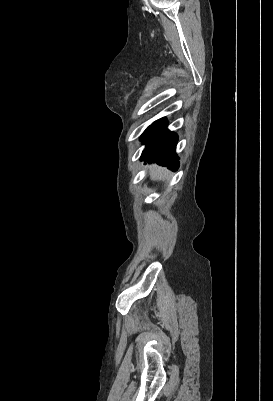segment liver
Instances as JSON below:
<instances>
[{
  "label": "liver",
  "instance_id": "6515ba94",
  "mask_svg": "<svg viewBox=\"0 0 273 401\" xmlns=\"http://www.w3.org/2000/svg\"><path fill=\"white\" fill-rule=\"evenodd\" d=\"M151 176L153 180H161V178H169L170 172L166 168H159V166H151Z\"/></svg>",
  "mask_w": 273,
  "mask_h": 401
}]
</instances>
